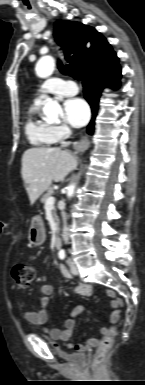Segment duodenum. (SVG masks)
I'll list each match as a JSON object with an SVG mask.
<instances>
[{
	"mask_svg": "<svg viewBox=\"0 0 145 385\" xmlns=\"http://www.w3.org/2000/svg\"><path fill=\"white\" fill-rule=\"evenodd\" d=\"M54 244H55V248L56 249H60L61 248L62 240H61V237L59 235H57L55 237Z\"/></svg>",
	"mask_w": 145,
	"mask_h": 385,
	"instance_id": "1",
	"label": "duodenum"
}]
</instances>
